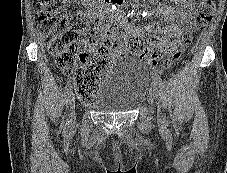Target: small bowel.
<instances>
[{
	"label": "small bowel",
	"instance_id": "small-bowel-1",
	"mask_svg": "<svg viewBox=\"0 0 227 173\" xmlns=\"http://www.w3.org/2000/svg\"><path fill=\"white\" fill-rule=\"evenodd\" d=\"M171 1L177 4L178 8L168 3H161L153 11L154 15L166 19V23L161 26L138 27L128 23L124 15H115L114 21L117 23V30L114 41L109 44L111 53L117 57L131 55L133 52L129 46L130 40L152 34H159L167 41L166 52L176 46L181 37L196 24L197 0Z\"/></svg>",
	"mask_w": 227,
	"mask_h": 173
}]
</instances>
